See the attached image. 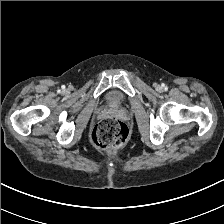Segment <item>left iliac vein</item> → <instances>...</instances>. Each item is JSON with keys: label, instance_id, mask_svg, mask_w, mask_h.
<instances>
[{"label": "left iliac vein", "instance_id": "4c4485c4", "mask_svg": "<svg viewBox=\"0 0 224 224\" xmlns=\"http://www.w3.org/2000/svg\"><path fill=\"white\" fill-rule=\"evenodd\" d=\"M155 88H156L158 91H162V90H163L162 87H161L160 85H158V84L155 86Z\"/></svg>", "mask_w": 224, "mask_h": 224}]
</instances>
